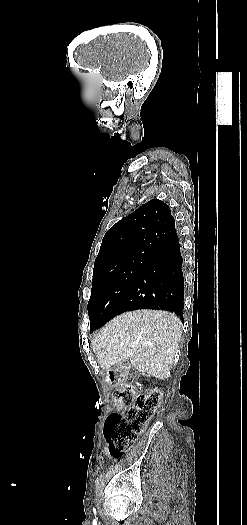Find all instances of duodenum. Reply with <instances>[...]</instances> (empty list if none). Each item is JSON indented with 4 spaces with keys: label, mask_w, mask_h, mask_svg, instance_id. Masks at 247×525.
<instances>
[{
    "label": "duodenum",
    "mask_w": 247,
    "mask_h": 525,
    "mask_svg": "<svg viewBox=\"0 0 247 525\" xmlns=\"http://www.w3.org/2000/svg\"><path fill=\"white\" fill-rule=\"evenodd\" d=\"M121 371L120 370H113V371H109L108 375H107V381L109 384H115L119 381L120 377H121Z\"/></svg>",
    "instance_id": "obj_1"
}]
</instances>
